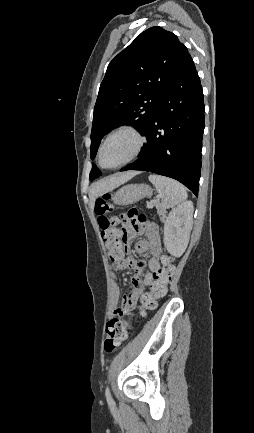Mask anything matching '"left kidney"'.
Here are the masks:
<instances>
[{
    "label": "left kidney",
    "mask_w": 254,
    "mask_h": 433,
    "mask_svg": "<svg viewBox=\"0 0 254 433\" xmlns=\"http://www.w3.org/2000/svg\"><path fill=\"white\" fill-rule=\"evenodd\" d=\"M193 211V203L184 202L170 211L164 223V246L172 256H182L187 248Z\"/></svg>",
    "instance_id": "left-kidney-1"
}]
</instances>
